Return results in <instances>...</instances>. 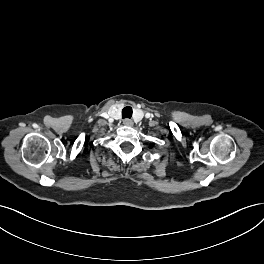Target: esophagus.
Returning <instances> with one entry per match:
<instances>
[{
  "instance_id": "34e87169",
  "label": "esophagus",
  "mask_w": 264,
  "mask_h": 264,
  "mask_svg": "<svg viewBox=\"0 0 264 264\" xmlns=\"http://www.w3.org/2000/svg\"><path fill=\"white\" fill-rule=\"evenodd\" d=\"M123 123H124V125H126V126H132V125H133V121L130 120V119H128V118L125 119Z\"/></svg>"
}]
</instances>
